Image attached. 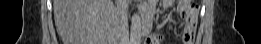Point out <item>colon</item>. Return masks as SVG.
<instances>
[{"label":"colon","instance_id":"1","mask_svg":"<svg viewBox=\"0 0 261 44\" xmlns=\"http://www.w3.org/2000/svg\"><path fill=\"white\" fill-rule=\"evenodd\" d=\"M192 5L193 8H195L197 10V7L194 6L191 1H179V6H190Z\"/></svg>","mask_w":261,"mask_h":44}]
</instances>
